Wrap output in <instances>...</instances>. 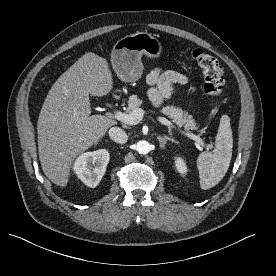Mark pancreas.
Returning <instances> with one entry per match:
<instances>
[{
	"label": "pancreas",
	"mask_w": 276,
	"mask_h": 276,
	"mask_svg": "<svg viewBox=\"0 0 276 276\" xmlns=\"http://www.w3.org/2000/svg\"><path fill=\"white\" fill-rule=\"evenodd\" d=\"M127 102V112L130 113L133 110L139 108L142 105L143 100H141L137 95H131ZM160 111L164 115L168 116L178 126H183L185 130H193L197 128V124L194 122V120H192L190 116L184 113L179 107H175L173 105L165 106L161 108Z\"/></svg>",
	"instance_id": "cf45deb5"
}]
</instances>
